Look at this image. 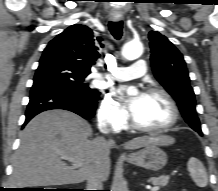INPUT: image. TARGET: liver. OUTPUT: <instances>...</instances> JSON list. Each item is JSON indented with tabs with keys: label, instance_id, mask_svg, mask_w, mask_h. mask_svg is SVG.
Masks as SVG:
<instances>
[{
	"label": "liver",
	"instance_id": "1",
	"mask_svg": "<svg viewBox=\"0 0 218 191\" xmlns=\"http://www.w3.org/2000/svg\"><path fill=\"white\" fill-rule=\"evenodd\" d=\"M91 126L80 116L66 110H49L34 117L24 128L20 146L13 159L12 186H53L77 184L87 180L98 169L103 181L110 173L111 145L103 137L93 140ZM175 139L166 135H151L127 142L125 149H138L150 144L168 146ZM68 154L81 162L69 166L61 158Z\"/></svg>",
	"mask_w": 218,
	"mask_h": 191
}]
</instances>
